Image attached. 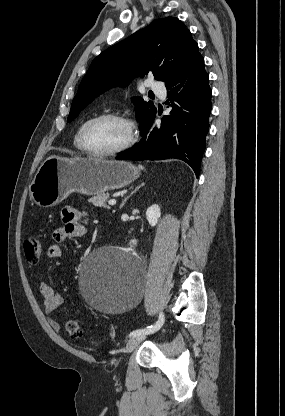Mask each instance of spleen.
Listing matches in <instances>:
<instances>
[{"instance_id": "1", "label": "spleen", "mask_w": 285, "mask_h": 416, "mask_svg": "<svg viewBox=\"0 0 285 416\" xmlns=\"http://www.w3.org/2000/svg\"><path fill=\"white\" fill-rule=\"evenodd\" d=\"M140 170H144L143 166H139Z\"/></svg>"}]
</instances>
